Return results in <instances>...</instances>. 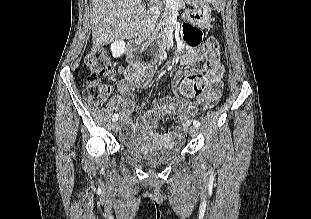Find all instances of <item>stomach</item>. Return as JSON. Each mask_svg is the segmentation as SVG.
Listing matches in <instances>:
<instances>
[{
    "label": "stomach",
    "instance_id": "obj_1",
    "mask_svg": "<svg viewBox=\"0 0 311 219\" xmlns=\"http://www.w3.org/2000/svg\"><path fill=\"white\" fill-rule=\"evenodd\" d=\"M186 2L194 6L193 10L185 14L186 19L201 28L210 26L212 18L211 9L207 4L209 0H186Z\"/></svg>",
    "mask_w": 311,
    "mask_h": 219
}]
</instances>
